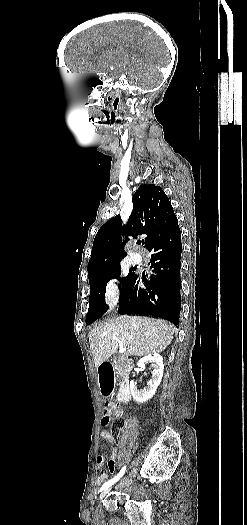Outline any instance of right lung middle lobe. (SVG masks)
Listing matches in <instances>:
<instances>
[{
  "instance_id": "1",
  "label": "right lung middle lobe",
  "mask_w": 247,
  "mask_h": 525,
  "mask_svg": "<svg viewBox=\"0 0 247 525\" xmlns=\"http://www.w3.org/2000/svg\"><path fill=\"white\" fill-rule=\"evenodd\" d=\"M121 268L89 274L90 284V296H89V309L86 316L87 324H91L96 319L100 318L106 311L107 305L105 304V291L107 282L110 279H118L122 286V296L124 297L128 286L130 285L135 274L130 273L126 277L120 278Z\"/></svg>"
}]
</instances>
